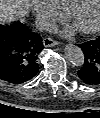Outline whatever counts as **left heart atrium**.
<instances>
[{"label": "left heart atrium", "instance_id": "obj_1", "mask_svg": "<svg viewBox=\"0 0 100 118\" xmlns=\"http://www.w3.org/2000/svg\"><path fill=\"white\" fill-rule=\"evenodd\" d=\"M63 33L65 34V35H71V34H73L74 33V28L73 27H67V28H65L64 30H63Z\"/></svg>", "mask_w": 100, "mask_h": 118}]
</instances>
